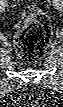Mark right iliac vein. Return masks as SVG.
Listing matches in <instances>:
<instances>
[{
	"label": "right iliac vein",
	"mask_w": 63,
	"mask_h": 107,
	"mask_svg": "<svg viewBox=\"0 0 63 107\" xmlns=\"http://www.w3.org/2000/svg\"><path fill=\"white\" fill-rule=\"evenodd\" d=\"M6 7H7V2L3 0V2L0 3V11L4 12Z\"/></svg>",
	"instance_id": "63e3f726"
}]
</instances>
